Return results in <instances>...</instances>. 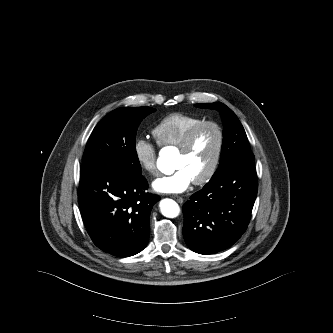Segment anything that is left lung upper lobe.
<instances>
[{
    "label": "left lung upper lobe",
    "mask_w": 333,
    "mask_h": 333,
    "mask_svg": "<svg viewBox=\"0 0 333 333\" xmlns=\"http://www.w3.org/2000/svg\"><path fill=\"white\" fill-rule=\"evenodd\" d=\"M199 108L216 109L223 119V143L221 159L217 171L213 176L221 173L227 167L254 160V155L250 150L248 139L243 126L235 113L221 102L196 104Z\"/></svg>",
    "instance_id": "1"
}]
</instances>
